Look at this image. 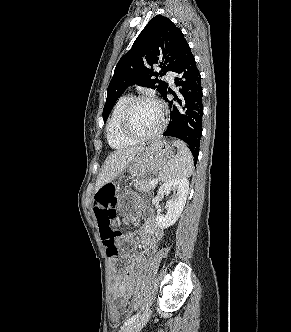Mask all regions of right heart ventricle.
<instances>
[{
	"label": "right heart ventricle",
	"instance_id": "obj_1",
	"mask_svg": "<svg viewBox=\"0 0 291 332\" xmlns=\"http://www.w3.org/2000/svg\"><path fill=\"white\" fill-rule=\"evenodd\" d=\"M133 97L129 94L121 96L115 103L106 126V136L109 145L114 149H123L136 142L126 138L120 128L122 114Z\"/></svg>",
	"mask_w": 291,
	"mask_h": 332
}]
</instances>
